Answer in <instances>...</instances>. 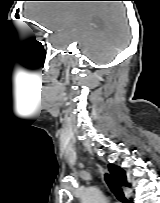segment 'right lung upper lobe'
Returning a JSON list of instances; mask_svg holds the SVG:
<instances>
[{
    "label": "right lung upper lobe",
    "mask_w": 160,
    "mask_h": 203,
    "mask_svg": "<svg viewBox=\"0 0 160 203\" xmlns=\"http://www.w3.org/2000/svg\"><path fill=\"white\" fill-rule=\"evenodd\" d=\"M109 170L114 180L121 186L129 187L130 184L127 182L126 174L123 169L113 164H109Z\"/></svg>",
    "instance_id": "cb5924a9"
}]
</instances>
